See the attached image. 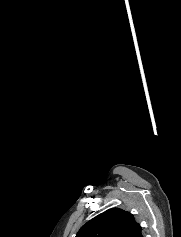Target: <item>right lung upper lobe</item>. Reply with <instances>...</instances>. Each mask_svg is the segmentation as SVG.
<instances>
[{"label":"right lung upper lobe","mask_w":181,"mask_h":237,"mask_svg":"<svg viewBox=\"0 0 181 237\" xmlns=\"http://www.w3.org/2000/svg\"><path fill=\"white\" fill-rule=\"evenodd\" d=\"M76 237H143L131 213L109 209L84 224Z\"/></svg>","instance_id":"obj_1"}]
</instances>
